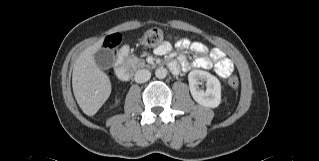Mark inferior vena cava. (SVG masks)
Returning <instances> with one entry per match:
<instances>
[{"label": "inferior vena cava", "instance_id": "1", "mask_svg": "<svg viewBox=\"0 0 319 161\" xmlns=\"http://www.w3.org/2000/svg\"><path fill=\"white\" fill-rule=\"evenodd\" d=\"M151 77V73L149 70H146V69H141V70H138L134 76V80L137 82V83H144L146 81H148Z\"/></svg>", "mask_w": 319, "mask_h": 161}]
</instances>
